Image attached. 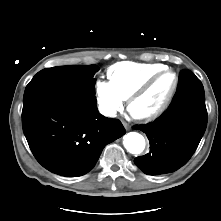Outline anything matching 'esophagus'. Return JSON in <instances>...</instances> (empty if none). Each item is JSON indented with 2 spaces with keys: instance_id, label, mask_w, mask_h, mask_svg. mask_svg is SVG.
Returning <instances> with one entry per match:
<instances>
[{
  "instance_id": "1",
  "label": "esophagus",
  "mask_w": 221,
  "mask_h": 221,
  "mask_svg": "<svg viewBox=\"0 0 221 221\" xmlns=\"http://www.w3.org/2000/svg\"><path fill=\"white\" fill-rule=\"evenodd\" d=\"M122 124H123V126L125 127L126 130H130V125L127 122L122 121Z\"/></svg>"
}]
</instances>
